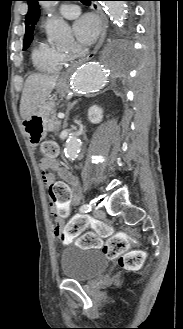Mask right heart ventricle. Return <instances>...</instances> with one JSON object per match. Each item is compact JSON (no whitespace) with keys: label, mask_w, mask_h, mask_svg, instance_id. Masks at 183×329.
I'll return each instance as SVG.
<instances>
[{"label":"right heart ventricle","mask_w":183,"mask_h":329,"mask_svg":"<svg viewBox=\"0 0 183 329\" xmlns=\"http://www.w3.org/2000/svg\"><path fill=\"white\" fill-rule=\"evenodd\" d=\"M33 66L42 72H57L68 61L66 54L46 42H40L32 52Z\"/></svg>","instance_id":"e07e8e85"}]
</instances>
